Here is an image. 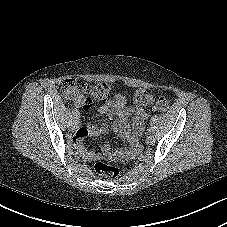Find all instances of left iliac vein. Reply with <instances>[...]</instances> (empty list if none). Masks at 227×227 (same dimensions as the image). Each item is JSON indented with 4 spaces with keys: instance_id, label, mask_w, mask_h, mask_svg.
<instances>
[{
    "instance_id": "obj_1",
    "label": "left iliac vein",
    "mask_w": 227,
    "mask_h": 227,
    "mask_svg": "<svg viewBox=\"0 0 227 227\" xmlns=\"http://www.w3.org/2000/svg\"><path fill=\"white\" fill-rule=\"evenodd\" d=\"M154 141L155 140H154L153 135L152 134H148L147 137H146V143L149 144V145H151V144L154 143Z\"/></svg>"
}]
</instances>
